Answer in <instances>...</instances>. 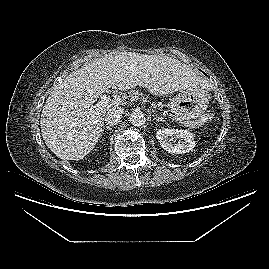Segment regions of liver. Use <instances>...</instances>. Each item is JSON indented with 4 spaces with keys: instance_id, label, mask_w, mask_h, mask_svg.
I'll use <instances>...</instances> for the list:
<instances>
[{
    "instance_id": "6515ba94",
    "label": "liver",
    "mask_w": 269,
    "mask_h": 269,
    "mask_svg": "<svg viewBox=\"0 0 269 269\" xmlns=\"http://www.w3.org/2000/svg\"><path fill=\"white\" fill-rule=\"evenodd\" d=\"M205 80L175 58L118 52L82 67L61 81L48 96L41 113V134L48 148L62 160H81L100 139L104 117L124 104L116 95L97 112L90 110L110 88L126 91L142 86L154 96L205 86Z\"/></svg>"
}]
</instances>
